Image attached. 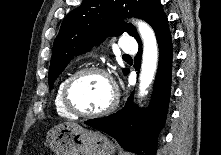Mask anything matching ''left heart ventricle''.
<instances>
[{"label": "left heart ventricle", "mask_w": 221, "mask_h": 155, "mask_svg": "<svg viewBox=\"0 0 221 155\" xmlns=\"http://www.w3.org/2000/svg\"><path fill=\"white\" fill-rule=\"evenodd\" d=\"M112 94L111 84L104 76L87 74L74 83L70 91V98L79 110L97 112L108 106Z\"/></svg>", "instance_id": "obj_1"}]
</instances>
